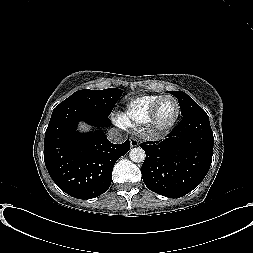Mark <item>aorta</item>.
<instances>
[{"mask_svg": "<svg viewBox=\"0 0 253 253\" xmlns=\"http://www.w3.org/2000/svg\"><path fill=\"white\" fill-rule=\"evenodd\" d=\"M129 157H130L131 161L136 162V163H140L145 160L146 154L142 148L135 147L130 150Z\"/></svg>", "mask_w": 253, "mask_h": 253, "instance_id": "obj_1", "label": "aorta"}]
</instances>
